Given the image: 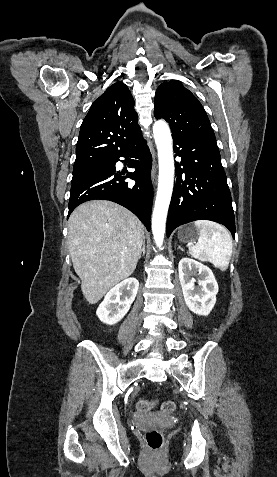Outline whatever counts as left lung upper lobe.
<instances>
[{
	"instance_id": "left-lung-upper-lobe-1",
	"label": "left lung upper lobe",
	"mask_w": 277,
	"mask_h": 477,
	"mask_svg": "<svg viewBox=\"0 0 277 477\" xmlns=\"http://www.w3.org/2000/svg\"><path fill=\"white\" fill-rule=\"evenodd\" d=\"M154 104L155 117L169 123L172 135L215 137L201 103L181 83H162L156 91Z\"/></svg>"
}]
</instances>
